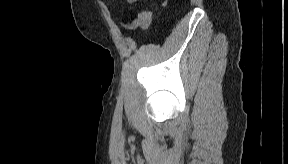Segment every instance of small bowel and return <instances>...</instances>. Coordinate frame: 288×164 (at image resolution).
Returning <instances> with one entry per match:
<instances>
[{"instance_id":"1","label":"small bowel","mask_w":288,"mask_h":164,"mask_svg":"<svg viewBox=\"0 0 288 164\" xmlns=\"http://www.w3.org/2000/svg\"><path fill=\"white\" fill-rule=\"evenodd\" d=\"M140 14H141V15H144V14L149 15V16L151 17V20H152L154 11H144V12H142V13H140ZM140 14H139V15H140Z\"/></svg>"}]
</instances>
